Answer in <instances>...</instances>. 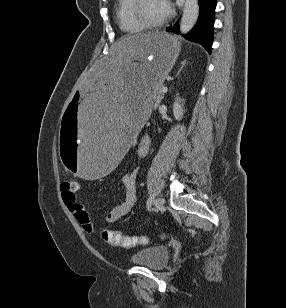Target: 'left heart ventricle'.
Instances as JSON below:
<instances>
[{
    "label": "left heart ventricle",
    "mask_w": 286,
    "mask_h": 308,
    "mask_svg": "<svg viewBox=\"0 0 286 308\" xmlns=\"http://www.w3.org/2000/svg\"><path fill=\"white\" fill-rule=\"evenodd\" d=\"M141 14L148 22H159L167 14V7L164 0H145L141 6Z\"/></svg>",
    "instance_id": "1"
}]
</instances>
